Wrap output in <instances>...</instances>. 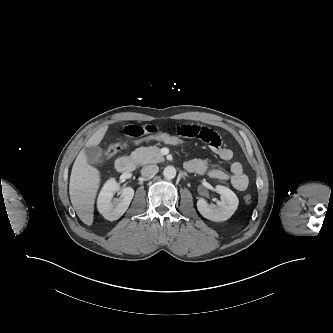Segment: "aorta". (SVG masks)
Segmentation results:
<instances>
[{
	"instance_id": "obj_1",
	"label": "aorta",
	"mask_w": 333,
	"mask_h": 333,
	"mask_svg": "<svg viewBox=\"0 0 333 333\" xmlns=\"http://www.w3.org/2000/svg\"><path fill=\"white\" fill-rule=\"evenodd\" d=\"M163 175L166 179H173L176 176V169L173 166H167L163 170Z\"/></svg>"
}]
</instances>
